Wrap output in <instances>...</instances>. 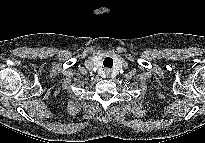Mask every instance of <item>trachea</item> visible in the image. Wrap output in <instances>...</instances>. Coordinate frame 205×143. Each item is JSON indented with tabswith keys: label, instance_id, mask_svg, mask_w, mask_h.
I'll list each match as a JSON object with an SVG mask.
<instances>
[{
	"label": "trachea",
	"instance_id": "3493384b",
	"mask_svg": "<svg viewBox=\"0 0 205 143\" xmlns=\"http://www.w3.org/2000/svg\"><path fill=\"white\" fill-rule=\"evenodd\" d=\"M103 65H104L105 67L111 68L112 65H113L112 59H111V58H106V59L103 61Z\"/></svg>",
	"mask_w": 205,
	"mask_h": 143
}]
</instances>
